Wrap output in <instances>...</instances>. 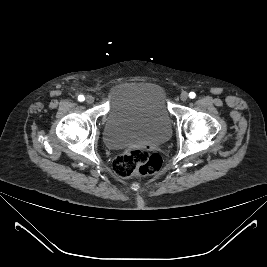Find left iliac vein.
Segmentation results:
<instances>
[{
  "label": "left iliac vein",
  "mask_w": 267,
  "mask_h": 267,
  "mask_svg": "<svg viewBox=\"0 0 267 267\" xmlns=\"http://www.w3.org/2000/svg\"><path fill=\"white\" fill-rule=\"evenodd\" d=\"M189 95L187 92H182L181 95H180V99L182 101H186L188 99Z\"/></svg>",
  "instance_id": "1"
}]
</instances>
